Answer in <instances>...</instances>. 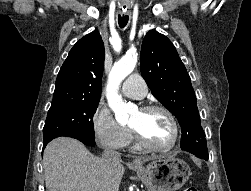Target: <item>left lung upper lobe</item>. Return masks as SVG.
<instances>
[{
  "mask_svg": "<svg viewBox=\"0 0 251 191\" xmlns=\"http://www.w3.org/2000/svg\"><path fill=\"white\" fill-rule=\"evenodd\" d=\"M140 70L153 96L178 119L182 129L181 149L208 159L190 76L166 36L155 30L146 34L141 47Z\"/></svg>",
  "mask_w": 251,
  "mask_h": 191,
  "instance_id": "5c2ea615",
  "label": "left lung upper lobe"
}]
</instances>
